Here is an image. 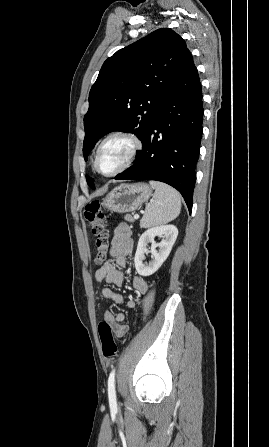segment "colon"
Wrapping results in <instances>:
<instances>
[{
  "instance_id": "1",
  "label": "colon",
  "mask_w": 269,
  "mask_h": 447,
  "mask_svg": "<svg viewBox=\"0 0 269 447\" xmlns=\"http://www.w3.org/2000/svg\"><path fill=\"white\" fill-rule=\"evenodd\" d=\"M83 217L88 228L96 236L94 241V247L96 248L94 262L101 263L106 259L110 247L109 221L106 219L101 206L98 203H93L86 206L83 211ZM148 305L153 307L155 302L150 300ZM140 323H146V320H140ZM140 323L135 321L133 326L138 328ZM97 331L101 340L103 354L109 358L117 356L119 349L114 340L111 324L107 321H100L97 326Z\"/></svg>"
}]
</instances>
